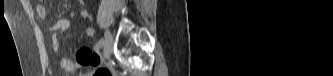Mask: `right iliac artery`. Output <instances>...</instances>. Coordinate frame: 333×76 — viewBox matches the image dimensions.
Returning <instances> with one entry per match:
<instances>
[{
    "instance_id": "obj_1",
    "label": "right iliac artery",
    "mask_w": 333,
    "mask_h": 76,
    "mask_svg": "<svg viewBox=\"0 0 333 76\" xmlns=\"http://www.w3.org/2000/svg\"><path fill=\"white\" fill-rule=\"evenodd\" d=\"M102 46H103V40L101 39L97 42L96 49L99 50L100 48H102Z\"/></svg>"
}]
</instances>
